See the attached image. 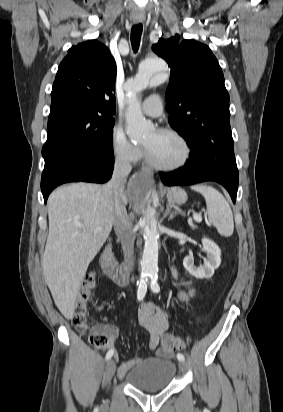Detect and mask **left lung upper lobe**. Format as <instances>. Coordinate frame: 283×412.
<instances>
[{
	"label": "left lung upper lobe",
	"mask_w": 283,
	"mask_h": 412,
	"mask_svg": "<svg viewBox=\"0 0 283 412\" xmlns=\"http://www.w3.org/2000/svg\"><path fill=\"white\" fill-rule=\"evenodd\" d=\"M171 67L166 94L169 123L193 149L203 146L214 158L229 164L228 178L239 182L230 128L229 94L224 76L210 48L176 35L152 46Z\"/></svg>",
	"instance_id": "left-lung-upper-lobe-1"
}]
</instances>
